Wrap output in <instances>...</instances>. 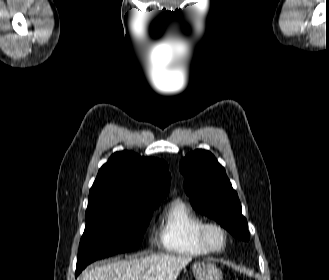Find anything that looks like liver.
<instances>
[{"instance_id":"obj_1","label":"liver","mask_w":329,"mask_h":280,"mask_svg":"<svg viewBox=\"0 0 329 280\" xmlns=\"http://www.w3.org/2000/svg\"><path fill=\"white\" fill-rule=\"evenodd\" d=\"M192 257L151 254L95 266L80 280H176Z\"/></svg>"}]
</instances>
